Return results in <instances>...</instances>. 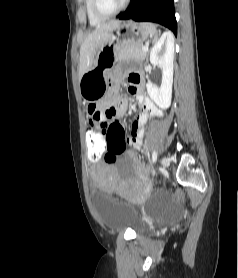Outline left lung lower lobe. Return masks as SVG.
<instances>
[{
	"label": "left lung lower lobe",
	"mask_w": 238,
	"mask_h": 278,
	"mask_svg": "<svg viewBox=\"0 0 238 278\" xmlns=\"http://www.w3.org/2000/svg\"><path fill=\"white\" fill-rule=\"evenodd\" d=\"M121 20L132 19L159 23L177 36V22L173 0H131L126 11L117 16Z\"/></svg>",
	"instance_id": "obj_1"
}]
</instances>
